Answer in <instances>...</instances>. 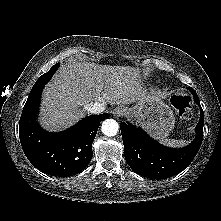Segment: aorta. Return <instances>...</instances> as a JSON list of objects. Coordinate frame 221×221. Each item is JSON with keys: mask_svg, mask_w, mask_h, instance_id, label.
Instances as JSON below:
<instances>
[{"mask_svg": "<svg viewBox=\"0 0 221 221\" xmlns=\"http://www.w3.org/2000/svg\"><path fill=\"white\" fill-rule=\"evenodd\" d=\"M101 131L106 136H115L119 131L118 122L114 119H106L103 121Z\"/></svg>", "mask_w": 221, "mask_h": 221, "instance_id": "aorta-1", "label": "aorta"}]
</instances>
